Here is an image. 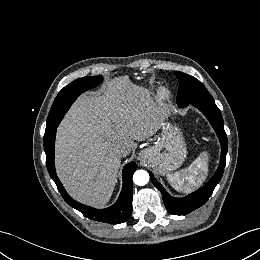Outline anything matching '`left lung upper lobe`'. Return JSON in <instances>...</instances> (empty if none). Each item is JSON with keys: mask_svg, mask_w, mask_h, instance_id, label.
Returning a JSON list of instances; mask_svg holds the SVG:
<instances>
[{"mask_svg": "<svg viewBox=\"0 0 260 260\" xmlns=\"http://www.w3.org/2000/svg\"><path fill=\"white\" fill-rule=\"evenodd\" d=\"M180 81L177 103L185 107L189 103L207 102L214 103V100L204 85L196 78L181 72H175Z\"/></svg>", "mask_w": 260, "mask_h": 260, "instance_id": "5c2ea615", "label": "left lung upper lobe"}]
</instances>
